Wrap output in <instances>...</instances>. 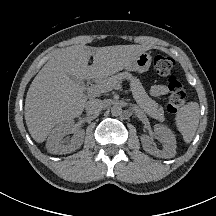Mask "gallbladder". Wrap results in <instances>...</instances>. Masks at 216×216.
<instances>
[{
	"label": "gallbladder",
	"instance_id": "bac80fb5",
	"mask_svg": "<svg viewBox=\"0 0 216 216\" xmlns=\"http://www.w3.org/2000/svg\"><path fill=\"white\" fill-rule=\"evenodd\" d=\"M70 78H71L72 80L76 81V82L79 81V80H78L75 76H73V75H70Z\"/></svg>",
	"mask_w": 216,
	"mask_h": 216
}]
</instances>
